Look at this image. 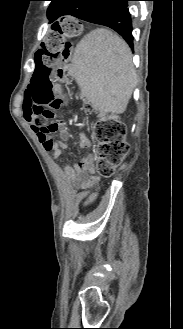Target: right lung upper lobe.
I'll return each mask as SVG.
<instances>
[{"mask_svg": "<svg viewBox=\"0 0 183 329\" xmlns=\"http://www.w3.org/2000/svg\"><path fill=\"white\" fill-rule=\"evenodd\" d=\"M56 1H58V0H51V5L49 7H51L54 4V2H56ZM47 15H48L49 20L54 19V12L49 10V8H48V14Z\"/></svg>", "mask_w": 183, "mask_h": 329, "instance_id": "1", "label": "right lung upper lobe"}]
</instances>
